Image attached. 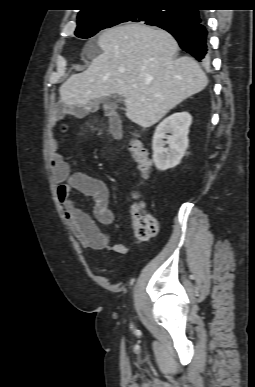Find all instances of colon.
Listing matches in <instances>:
<instances>
[{"label": "colon", "instance_id": "1", "mask_svg": "<svg viewBox=\"0 0 255 387\" xmlns=\"http://www.w3.org/2000/svg\"><path fill=\"white\" fill-rule=\"evenodd\" d=\"M128 149L144 178H149L153 170L152 162L141 142L137 139H131L128 142ZM134 198L137 199L138 196L135 195ZM131 224L135 234L143 239L155 236L159 229L158 220L147 214L144 205L139 201H135L131 205Z\"/></svg>", "mask_w": 255, "mask_h": 387}]
</instances>
